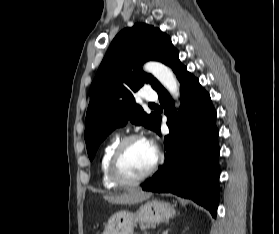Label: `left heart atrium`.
Masks as SVG:
<instances>
[{
  "mask_svg": "<svg viewBox=\"0 0 279 234\" xmlns=\"http://www.w3.org/2000/svg\"><path fill=\"white\" fill-rule=\"evenodd\" d=\"M146 141L148 142V144L154 149V150H156V144H155V142H154V140L153 139H146Z\"/></svg>",
  "mask_w": 279,
  "mask_h": 234,
  "instance_id": "obj_1",
  "label": "left heart atrium"
}]
</instances>
